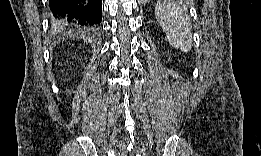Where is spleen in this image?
<instances>
[{"mask_svg":"<svg viewBox=\"0 0 261 156\" xmlns=\"http://www.w3.org/2000/svg\"><path fill=\"white\" fill-rule=\"evenodd\" d=\"M155 16L170 45L188 52L192 48V30L187 10L174 1H160L155 6Z\"/></svg>","mask_w":261,"mask_h":156,"instance_id":"1","label":"spleen"}]
</instances>
